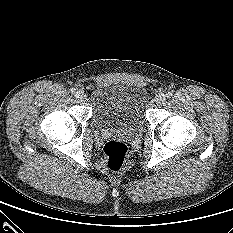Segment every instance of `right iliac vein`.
<instances>
[{
	"instance_id": "63e3f726",
	"label": "right iliac vein",
	"mask_w": 233,
	"mask_h": 233,
	"mask_svg": "<svg viewBox=\"0 0 233 233\" xmlns=\"http://www.w3.org/2000/svg\"><path fill=\"white\" fill-rule=\"evenodd\" d=\"M75 97L78 101H81V102L85 99V95L82 91H77L75 93Z\"/></svg>"
}]
</instances>
